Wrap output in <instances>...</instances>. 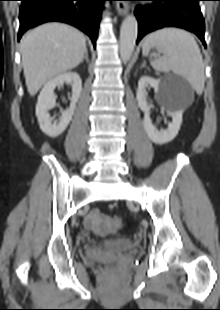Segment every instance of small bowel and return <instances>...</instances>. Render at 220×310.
Instances as JSON below:
<instances>
[{
    "instance_id": "obj_1",
    "label": "small bowel",
    "mask_w": 220,
    "mask_h": 310,
    "mask_svg": "<svg viewBox=\"0 0 220 310\" xmlns=\"http://www.w3.org/2000/svg\"><path fill=\"white\" fill-rule=\"evenodd\" d=\"M110 218L102 214L99 210H92L84 219L86 229L94 233H103L109 227Z\"/></svg>"
}]
</instances>
